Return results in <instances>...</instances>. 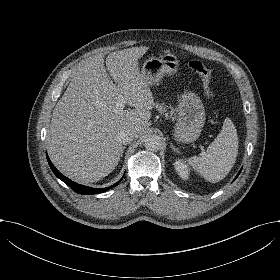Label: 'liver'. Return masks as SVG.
I'll return each mask as SVG.
<instances>
[{
    "mask_svg": "<svg viewBox=\"0 0 280 280\" xmlns=\"http://www.w3.org/2000/svg\"><path fill=\"white\" fill-rule=\"evenodd\" d=\"M147 49L132 47L107 56L115 84L102 55L88 58L73 72L53 111L48 147L55 166L70 179L82 184L103 179L123 155L117 133L129 130L140 137L151 125L153 98L137 71L138 58ZM118 101L134 109L120 110Z\"/></svg>",
    "mask_w": 280,
    "mask_h": 280,
    "instance_id": "6515ba94",
    "label": "liver"
}]
</instances>
